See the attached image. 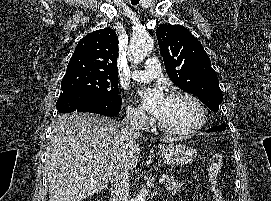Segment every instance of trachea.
<instances>
[{
    "instance_id": "trachea-1",
    "label": "trachea",
    "mask_w": 271,
    "mask_h": 201,
    "mask_svg": "<svg viewBox=\"0 0 271 201\" xmlns=\"http://www.w3.org/2000/svg\"><path fill=\"white\" fill-rule=\"evenodd\" d=\"M138 2H139V0H131V3H132L133 5L138 4Z\"/></svg>"
}]
</instances>
